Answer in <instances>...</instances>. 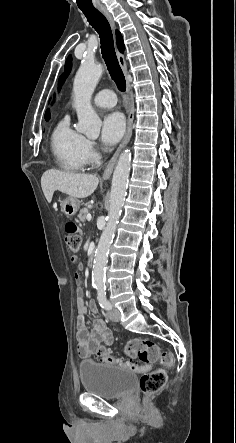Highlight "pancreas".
<instances>
[{
    "mask_svg": "<svg viewBox=\"0 0 236 443\" xmlns=\"http://www.w3.org/2000/svg\"><path fill=\"white\" fill-rule=\"evenodd\" d=\"M89 214L88 208H82L78 214V218L81 222H84L87 218V215Z\"/></svg>",
    "mask_w": 236,
    "mask_h": 443,
    "instance_id": "obj_1",
    "label": "pancreas"
}]
</instances>
